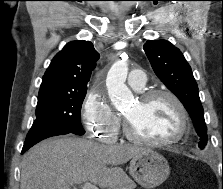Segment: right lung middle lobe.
Here are the masks:
<instances>
[{
  "label": "right lung middle lobe",
  "mask_w": 223,
  "mask_h": 189,
  "mask_svg": "<svg viewBox=\"0 0 223 189\" xmlns=\"http://www.w3.org/2000/svg\"><path fill=\"white\" fill-rule=\"evenodd\" d=\"M86 92L87 89L39 93L36 119L32 126H58L83 135L81 106Z\"/></svg>",
  "instance_id": "1"
}]
</instances>
